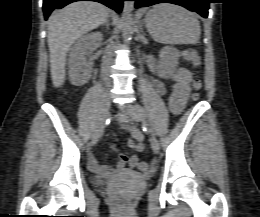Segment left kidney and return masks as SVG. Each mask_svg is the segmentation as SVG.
Segmentation results:
<instances>
[{"mask_svg": "<svg viewBox=\"0 0 260 217\" xmlns=\"http://www.w3.org/2000/svg\"><path fill=\"white\" fill-rule=\"evenodd\" d=\"M179 51L174 47H163L159 54L158 61V73L164 77L168 78L174 69L178 66Z\"/></svg>", "mask_w": 260, "mask_h": 217, "instance_id": "left-kidney-1", "label": "left kidney"}]
</instances>
